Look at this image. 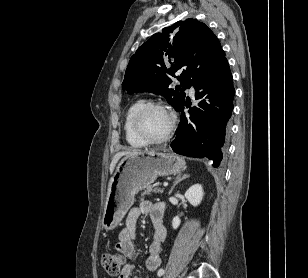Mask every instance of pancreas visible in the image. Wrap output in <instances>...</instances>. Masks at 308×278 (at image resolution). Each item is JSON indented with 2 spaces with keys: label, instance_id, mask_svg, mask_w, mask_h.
I'll list each match as a JSON object with an SVG mask.
<instances>
[{
  "label": "pancreas",
  "instance_id": "1",
  "mask_svg": "<svg viewBox=\"0 0 308 278\" xmlns=\"http://www.w3.org/2000/svg\"><path fill=\"white\" fill-rule=\"evenodd\" d=\"M158 192L162 193L163 190H162V189H152L151 186H148V187L146 188V191L143 192V195H145V194H150V193H158Z\"/></svg>",
  "mask_w": 308,
  "mask_h": 278
}]
</instances>
